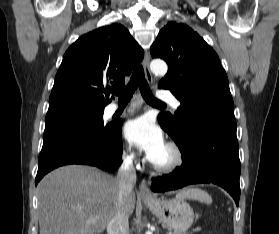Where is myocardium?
I'll use <instances>...</instances> for the list:
<instances>
[{
    "label": "myocardium",
    "mask_w": 279,
    "mask_h": 234,
    "mask_svg": "<svg viewBox=\"0 0 279 234\" xmlns=\"http://www.w3.org/2000/svg\"><path fill=\"white\" fill-rule=\"evenodd\" d=\"M169 158L165 162L157 163L151 161L152 168L160 173H169L178 168L183 162V153L179 146L173 142L166 144Z\"/></svg>",
    "instance_id": "obj_1"
}]
</instances>
